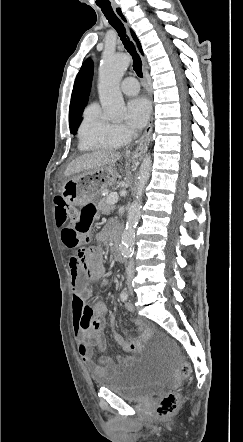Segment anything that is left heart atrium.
<instances>
[{
    "mask_svg": "<svg viewBox=\"0 0 243 442\" xmlns=\"http://www.w3.org/2000/svg\"><path fill=\"white\" fill-rule=\"evenodd\" d=\"M150 104L143 97L131 99L127 104V122L133 129H141L147 123L150 115Z\"/></svg>",
    "mask_w": 243,
    "mask_h": 442,
    "instance_id": "1",
    "label": "left heart atrium"
}]
</instances>
